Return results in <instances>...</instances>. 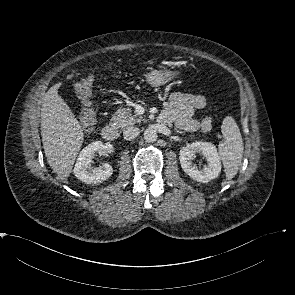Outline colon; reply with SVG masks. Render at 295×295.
I'll use <instances>...</instances> for the list:
<instances>
[{"mask_svg": "<svg viewBox=\"0 0 295 295\" xmlns=\"http://www.w3.org/2000/svg\"><path fill=\"white\" fill-rule=\"evenodd\" d=\"M84 89L86 94H90L92 90V81L87 80L84 83ZM96 124V114L94 110L90 107H87L83 110L81 114V125L84 130L90 131L95 127Z\"/></svg>", "mask_w": 295, "mask_h": 295, "instance_id": "obj_1", "label": "colon"}]
</instances>
